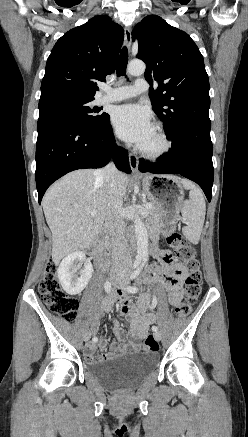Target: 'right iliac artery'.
<instances>
[{
    "label": "right iliac artery",
    "instance_id": "1",
    "mask_svg": "<svg viewBox=\"0 0 248 437\" xmlns=\"http://www.w3.org/2000/svg\"><path fill=\"white\" fill-rule=\"evenodd\" d=\"M140 262H141V259H137V260L135 261V263H134L133 268L138 267V265L140 264ZM104 289H105V291H106L107 293H110V292H111V289H112L111 282L107 281V282L104 284ZM97 340H98L97 337H93V338H92V342H97Z\"/></svg>",
    "mask_w": 248,
    "mask_h": 437
}]
</instances>
